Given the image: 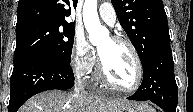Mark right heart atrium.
<instances>
[{"mask_svg":"<svg viewBox=\"0 0 193 112\" xmlns=\"http://www.w3.org/2000/svg\"><path fill=\"white\" fill-rule=\"evenodd\" d=\"M95 61L92 47L82 34H77L70 55L72 70L79 76H87L93 70Z\"/></svg>","mask_w":193,"mask_h":112,"instance_id":"d8ad5b80","label":"right heart atrium"}]
</instances>
